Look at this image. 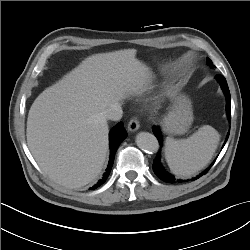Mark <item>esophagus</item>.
<instances>
[{"label":"esophagus","instance_id":"obj_1","mask_svg":"<svg viewBox=\"0 0 250 250\" xmlns=\"http://www.w3.org/2000/svg\"><path fill=\"white\" fill-rule=\"evenodd\" d=\"M140 128V124L137 118H132L128 123V130L135 132Z\"/></svg>","mask_w":250,"mask_h":250}]
</instances>
